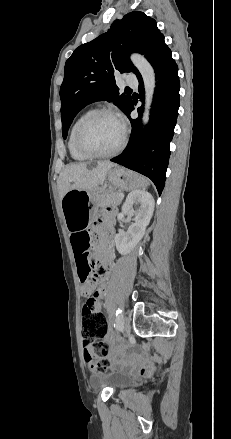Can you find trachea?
<instances>
[{
  "label": "trachea",
  "instance_id": "1",
  "mask_svg": "<svg viewBox=\"0 0 231 439\" xmlns=\"http://www.w3.org/2000/svg\"><path fill=\"white\" fill-rule=\"evenodd\" d=\"M126 90H127V91H131V89H130V88H126Z\"/></svg>",
  "mask_w": 231,
  "mask_h": 439
}]
</instances>
